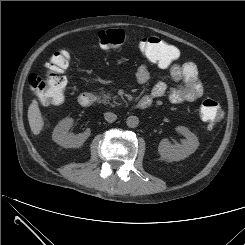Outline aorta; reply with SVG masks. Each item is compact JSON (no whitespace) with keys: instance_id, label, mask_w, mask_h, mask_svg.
Wrapping results in <instances>:
<instances>
[{"instance_id":"obj_1","label":"aorta","mask_w":245,"mask_h":245,"mask_svg":"<svg viewBox=\"0 0 245 245\" xmlns=\"http://www.w3.org/2000/svg\"><path fill=\"white\" fill-rule=\"evenodd\" d=\"M126 124L129 128H135L139 124V118L137 116H129L126 120Z\"/></svg>"}]
</instances>
